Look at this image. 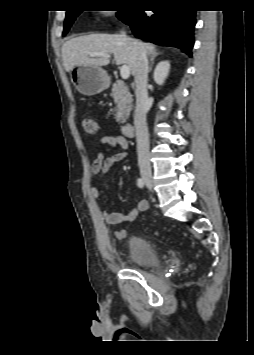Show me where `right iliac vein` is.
Wrapping results in <instances>:
<instances>
[{
	"label": "right iliac vein",
	"mask_w": 254,
	"mask_h": 355,
	"mask_svg": "<svg viewBox=\"0 0 254 355\" xmlns=\"http://www.w3.org/2000/svg\"><path fill=\"white\" fill-rule=\"evenodd\" d=\"M141 176L149 188L153 187L152 172L150 169H141Z\"/></svg>",
	"instance_id": "right-iliac-vein-1"
}]
</instances>
